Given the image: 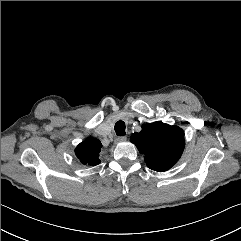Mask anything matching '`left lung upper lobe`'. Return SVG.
Segmentation results:
<instances>
[{
    "label": "left lung upper lobe",
    "instance_id": "5c2ea615",
    "mask_svg": "<svg viewBox=\"0 0 241 241\" xmlns=\"http://www.w3.org/2000/svg\"><path fill=\"white\" fill-rule=\"evenodd\" d=\"M130 141L144 155L147 166L155 171L170 169L185 145L183 130L162 122L143 125L142 131L132 134Z\"/></svg>",
    "mask_w": 241,
    "mask_h": 241
}]
</instances>
